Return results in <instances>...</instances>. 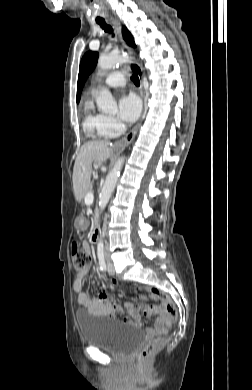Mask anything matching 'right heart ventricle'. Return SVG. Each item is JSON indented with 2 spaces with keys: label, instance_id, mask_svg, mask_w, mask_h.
Listing matches in <instances>:
<instances>
[{
  "label": "right heart ventricle",
  "instance_id": "e07e8e85",
  "mask_svg": "<svg viewBox=\"0 0 252 390\" xmlns=\"http://www.w3.org/2000/svg\"><path fill=\"white\" fill-rule=\"evenodd\" d=\"M102 118L103 115L95 113L92 102L85 104L83 129L87 136L94 139L107 137L101 129Z\"/></svg>",
  "mask_w": 252,
  "mask_h": 390
}]
</instances>
